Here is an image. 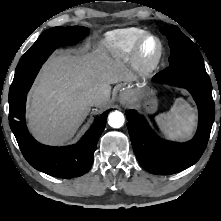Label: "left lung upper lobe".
Here are the masks:
<instances>
[{
	"label": "left lung upper lobe",
	"instance_id": "5c2ea615",
	"mask_svg": "<svg viewBox=\"0 0 221 221\" xmlns=\"http://www.w3.org/2000/svg\"><path fill=\"white\" fill-rule=\"evenodd\" d=\"M171 48L169 66H185L206 71L203 57L197 46L175 25L160 28Z\"/></svg>",
	"mask_w": 221,
	"mask_h": 221
}]
</instances>
